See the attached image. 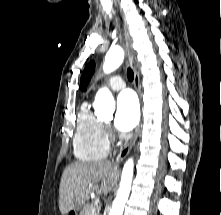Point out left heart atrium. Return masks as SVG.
Returning <instances> with one entry per match:
<instances>
[{"mask_svg":"<svg viewBox=\"0 0 221 215\" xmlns=\"http://www.w3.org/2000/svg\"><path fill=\"white\" fill-rule=\"evenodd\" d=\"M139 103L132 91L126 90L117 98L115 126L118 130H132L139 121Z\"/></svg>","mask_w":221,"mask_h":215,"instance_id":"left-heart-atrium-1","label":"left heart atrium"}]
</instances>
